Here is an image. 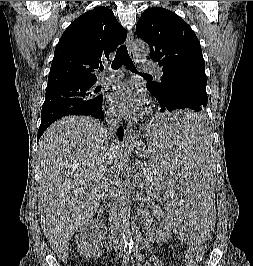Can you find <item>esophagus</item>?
<instances>
[{
  "label": "esophagus",
  "mask_w": 253,
  "mask_h": 266,
  "mask_svg": "<svg viewBox=\"0 0 253 266\" xmlns=\"http://www.w3.org/2000/svg\"><path fill=\"white\" fill-rule=\"evenodd\" d=\"M127 47H128V51L131 57H134V52H133V33L129 32L127 35ZM136 138V133L132 128H126L125 130V136H124V142L125 143H131L135 140Z\"/></svg>",
  "instance_id": "obj_1"
}]
</instances>
